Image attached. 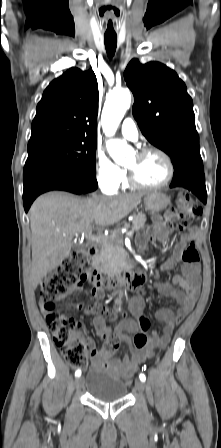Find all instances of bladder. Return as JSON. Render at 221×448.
Instances as JSON below:
<instances>
[{"mask_svg":"<svg viewBox=\"0 0 221 448\" xmlns=\"http://www.w3.org/2000/svg\"><path fill=\"white\" fill-rule=\"evenodd\" d=\"M83 386L93 399L102 402L122 400L128 391L127 383L119 376L99 368L92 369L83 377Z\"/></svg>","mask_w":221,"mask_h":448,"instance_id":"1","label":"bladder"}]
</instances>
